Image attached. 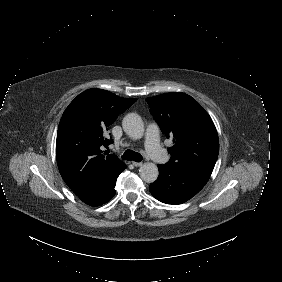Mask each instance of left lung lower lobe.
I'll list each match as a JSON object with an SVG mask.
<instances>
[{
    "instance_id": "0a47b994",
    "label": "left lung lower lobe",
    "mask_w": 282,
    "mask_h": 282,
    "mask_svg": "<svg viewBox=\"0 0 282 282\" xmlns=\"http://www.w3.org/2000/svg\"><path fill=\"white\" fill-rule=\"evenodd\" d=\"M159 176L150 184L153 197L167 204H181L196 195L207 183L210 168H169L158 165Z\"/></svg>"
}]
</instances>
